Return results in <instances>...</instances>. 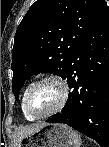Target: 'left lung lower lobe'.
<instances>
[{
  "label": "left lung lower lobe",
  "instance_id": "1",
  "mask_svg": "<svg viewBox=\"0 0 109 147\" xmlns=\"http://www.w3.org/2000/svg\"><path fill=\"white\" fill-rule=\"evenodd\" d=\"M72 92L62 113L47 120L64 123L109 144V9L106 7L75 50L66 77Z\"/></svg>",
  "mask_w": 109,
  "mask_h": 147
}]
</instances>
